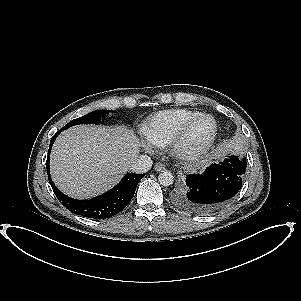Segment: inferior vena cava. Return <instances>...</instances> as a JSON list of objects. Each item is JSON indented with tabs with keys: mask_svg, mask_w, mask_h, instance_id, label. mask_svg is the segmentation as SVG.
<instances>
[{
	"mask_svg": "<svg viewBox=\"0 0 301 301\" xmlns=\"http://www.w3.org/2000/svg\"><path fill=\"white\" fill-rule=\"evenodd\" d=\"M152 159L148 155H139L132 162L129 170L133 173L141 174L146 173L152 167Z\"/></svg>",
	"mask_w": 301,
	"mask_h": 301,
	"instance_id": "1",
	"label": "inferior vena cava"
}]
</instances>
